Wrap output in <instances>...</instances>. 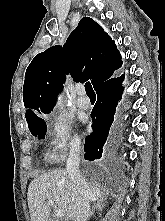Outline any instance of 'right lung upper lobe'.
<instances>
[{
  "mask_svg": "<svg viewBox=\"0 0 165 221\" xmlns=\"http://www.w3.org/2000/svg\"><path fill=\"white\" fill-rule=\"evenodd\" d=\"M121 66V55L111 37L93 19L82 18L63 48H48L28 66L23 87L27 122L39 118V114L50 113L66 74L75 81L90 79L96 89L114 77Z\"/></svg>",
  "mask_w": 165,
  "mask_h": 221,
  "instance_id": "obj_1",
  "label": "right lung upper lobe"
}]
</instances>
